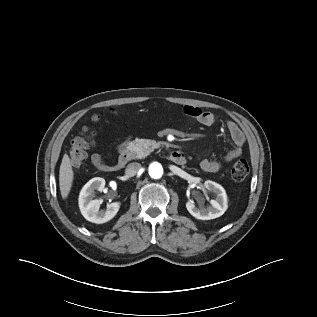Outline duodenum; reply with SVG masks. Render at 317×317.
Returning <instances> with one entry per match:
<instances>
[{
    "instance_id": "1",
    "label": "duodenum",
    "mask_w": 317,
    "mask_h": 317,
    "mask_svg": "<svg viewBox=\"0 0 317 317\" xmlns=\"http://www.w3.org/2000/svg\"><path fill=\"white\" fill-rule=\"evenodd\" d=\"M132 153L129 150H124L119 156L116 163L109 165L106 171H115L122 169L128 162L132 160ZM169 159L177 164L183 165L186 162L185 155L181 151H173L169 154Z\"/></svg>"
}]
</instances>
